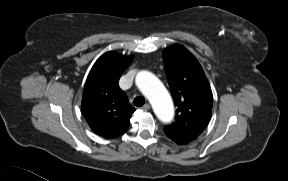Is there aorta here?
<instances>
[{
  "label": "aorta",
  "mask_w": 288,
  "mask_h": 181,
  "mask_svg": "<svg viewBox=\"0 0 288 181\" xmlns=\"http://www.w3.org/2000/svg\"><path fill=\"white\" fill-rule=\"evenodd\" d=\"M137 87L148 98L157 117L164 123L172 120V99L162 82L149 71H140L135 79Z\"/></svg>",
  "instance_id": "762f6f07"
}]
</instances>
